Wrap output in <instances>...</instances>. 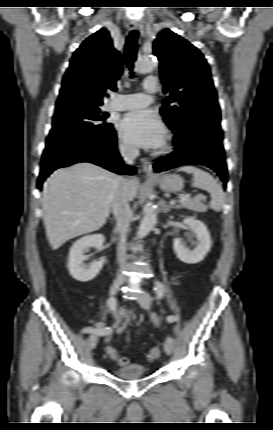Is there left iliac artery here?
Wrapping results in <instances>:
<instances>
[{"label": "left iliac artery", "mask_w": 273, "mask_h": 430, "mask_svg": "<svg viewBox=\"0 0 273 430\" xmlns=\"http://www.w3.org/2000/svg\"><path fill=\"white\" fill-rule=\"evenodd\" d=\"M154 291L157 294L158 298H162L164 296V293H165V287H164L163 283H161L160 281H155ZM166 320L168 322H173L176 320V317L170 315L166 318Z\"/></svg>", "instance_id": "44dca946"}]
</instances>
